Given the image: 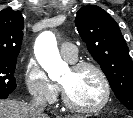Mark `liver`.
<instances>
[{"mask_svg":"<svg viewBox=\"0 0 133 118\" xmlns=\"http://www.w3.org/2000/svg\"><path fill=\"white\" fill-rule=\"evenodd\" d=\"M0 118H34L29 104L17 100H0ZM44 118H48L45 115Z\"/></svg>","mask_w":133,"mask_h":118,"instance_id":"1","label":"liver"}]
</instances>
